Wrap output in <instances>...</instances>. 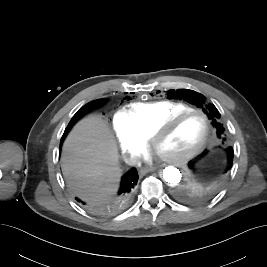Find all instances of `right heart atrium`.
I'll use <instances>...</instances> for the list:
<instances>
[{"mask_svg":"<svg viewBox=\"0 0 267 267\" xmlns=\"http://www.w3.org/2000/svg\"><path fill=\"white\" fill-rule=\"evenodd\" d=\"M116 141L127 160L135 163L146 149L147 141L131 125L124 111L116 112L112 119Z\"/></svg>","mask_w":267,"mask_h":267,"instance_id":"obj_1","label":"right heart atrium"}]
</instances>
